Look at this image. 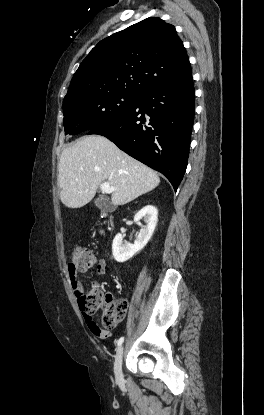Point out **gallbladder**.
<instances>
[{
	"mask_svg": "<svg viewBox=\"0 0 264 415\" xmlns=\"http://www.w3.org/2000/svg\"><path fill=\"white\" fill-rule=\"evenodd\" d=\"M95 205L97 207H99L100 209H103V210H108L110 208L109 203L106 200L102 199V198H97L95 200Z\"/></svg>",
	"mask_w": 264,
	"mask_h": 415,
	"instance_id": "gallbladder-1",
	"label": "gallbladder"
}]
</instances>
